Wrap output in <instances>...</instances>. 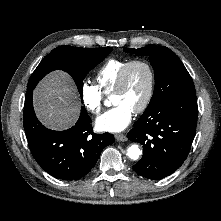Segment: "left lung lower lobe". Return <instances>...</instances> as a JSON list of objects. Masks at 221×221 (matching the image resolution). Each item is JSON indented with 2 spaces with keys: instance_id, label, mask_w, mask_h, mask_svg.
Returning <instances> with one entry per match:
<instances>
[{
  "instance_id": "left-lung-lower-lobe-1",
  "label": "left lung lower lobe",
  "mask_w": 221,
  "mask_h": 221,
  "mask_svg": "<svg viewBox=\"0 0 221 221\" xmlns=\"http://www.w3.org/2000/svg\"><path fill=\"white\" fill-rule=\"evenodd\" d=\"M196 94H185L151 106L134 123L128 139L144 149L134 171L148 179L175 172L187 158L196 132Z\"/></svg>"
}]
</instances>
